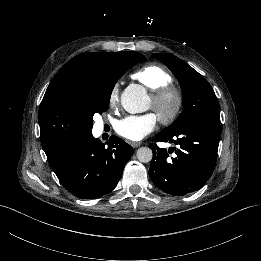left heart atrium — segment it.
I'll use <instances>...</instances> for the list:
<instances>
[{
  "instance_id": "left-heart-atrium-1",
  "label": "left heart atrium",
  "mask_w": 261,
  "mask_h": 261,
  "mask_svg": "<svg viewBox=\"0 0 261 261\" xmlns=\"http://www.w3.org/2000/svg\"><path fill=\"white\" fill-rule=\"evenodd\" d=\"M156 124L155 114L129 115L118 120L114 125V130L127 140L140 141L156 128Z\"/></svg>"
}]
</instances>
